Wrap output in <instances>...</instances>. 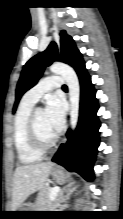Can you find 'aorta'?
<instances>
[{
    "mask_svg": "<svg viewBox=\"0 0 123 219\" xmlns=\"http://www.w3.org/2000/svg\"><path fill=\"white\" fill-rule=\"evenodd\" d=\"M50 71L60 75L68 86L70 100V125L74 130L78 123L80 104V85L78 77L72 67L64 63H53Z\"/></svg>",
    "mask_w": 123,
    "mask_h": 219,
    "instance_id": "aorta-1",
    "label": "aorta"
}]
</instances>
